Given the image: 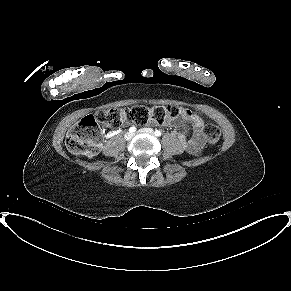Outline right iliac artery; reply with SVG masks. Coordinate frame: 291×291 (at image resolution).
I'll return each instance as SVG.
<instances>
[{
  "instance_id": "right-iliac-artery-1",
  "label": "right iliac artery",
  "mask_w": 291,
  "mask_h": 291,
  "mask_svg": "<svg viewBox=\"0 0 291 291\" xmlns=\"http://www.w3.org/2000/svg\"><path fill=\"white\" fill-rule=\"evenodd\" d=\"M129 131L132 132V133L135 132L136 131V127H134V126L133 127H130L129 128Z\"/></svg>"
}]
</instances>
